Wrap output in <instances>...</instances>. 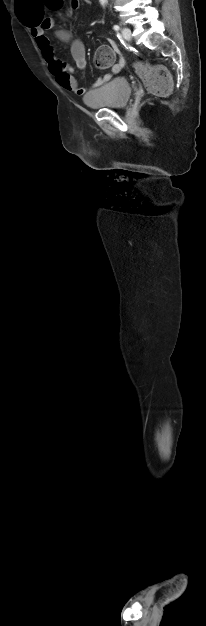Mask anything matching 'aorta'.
Returning a JSON list of instances; mask_svg holds the SVG:
<instances>
[{"mask_svg": "<svg viewBox=\"0 0 206 626\" xmlns=\"http://www.w3.org/2000/svg\"><path fill=\"white\" fill-rule=\"evenodd\" d=\"M100 2H101L102 4H104V3H106V2H107V0H100Z\"/></svg>", "mask_w": 206, "mask_h": 626, "instance_id": "1", "label": "aorta"}]
</instances>
